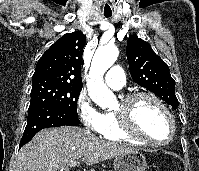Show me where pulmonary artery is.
I'll list each match as a JSON object with an SVG mask.
<instances>
[{
	"instance_id": "obj_1",
	"label": "pulmonary artery",
	"mask_w": 199,
	"mask_h": 171,
	"mask_svg": "<svg viewBox=\"0 0 199 171\" xmlns=\"http://www.w3.org/2000/svg\"><path fill=\"white\" fill-rule=\"evenodd\" d=\"M105 82L110 88L120 90L125 84L123 69L117 65L110 67L105 76Z\"/></svg>"
}]
</instances>
